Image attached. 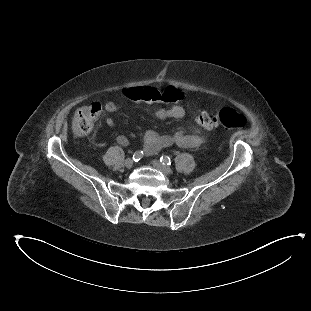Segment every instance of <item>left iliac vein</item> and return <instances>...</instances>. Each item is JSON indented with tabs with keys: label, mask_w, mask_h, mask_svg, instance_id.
<instances>
[{
	"label": "left iliac vein",
	"mask_w": 311,
	"mask_h": 311,
	"mask_svg": "<svg viewBox=\"0 0 311 311\" xmlns=\"http://www.w3.org/2000/svg\"><path fill=\"white\" fill-rule=\"evenodd\" d=\"M152 165L166 175L172 174V169L158 160H153Z\"/></svg>",
	"instance_id": "left-iliac-vein-1"
}]
</instances>
